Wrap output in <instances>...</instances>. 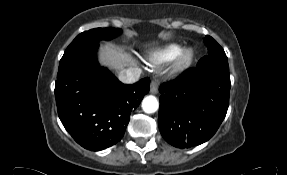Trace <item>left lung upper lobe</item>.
<instances>
[{
	"mask_svg": "<svg viewBox=\"0 0 287 175\" xmlns=\"http://www.w3.org/2000/svg\"><path fill=\"white\" fill-rule=\"evenodd\" d=\"M205 44L208 47V55L197 63L198 68H215L229 72L228 58L223 48L210 36H206Z\"/></svg>",
	"mask_w": 287,
	"mask_h": 175,
	"instance_id": "obj_1",
	"label": "left lung upper lobe"
}]
</instances>
